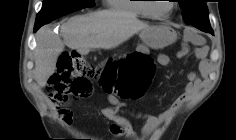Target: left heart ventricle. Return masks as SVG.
<instances>
[{"label": "left heart ventricle", "instance_id": "1", "mask_svg": "<svg viewBox=\"0 0 236 140\" xmlns=\"http://www.w3.org/2000/svg\"><path fill=\"white\" fill-rule=\"evenodd\" d=\"M170 4H171V2L156 1L153 4V8H154L156 13H158V14H165V13H167L169 11Z\"/></svg>", "mask_w": 236, "mask_h": 140}]
</instances>
